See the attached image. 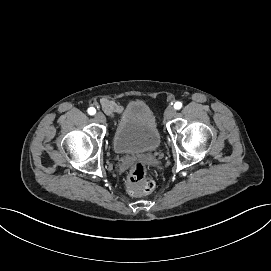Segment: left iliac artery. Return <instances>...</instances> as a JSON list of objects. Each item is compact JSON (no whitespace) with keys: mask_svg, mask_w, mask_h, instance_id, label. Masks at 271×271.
Segmentation results:
<instances>
[{"mask_svg":"<svg viewBox=\"0 0 271 271\" xmlns=\"http://www.w3.org/2000/svg\"><path fill=\"white\" fill-rule=\"evenodd\" d=\"M182 107V103L181 102H176L175 104H174V108L175 109H180Z\"/></svg>","mask_w":271,"mask_h":271,"instance_id":"obj_1","label":"left iliac artery"}]
</instances>
